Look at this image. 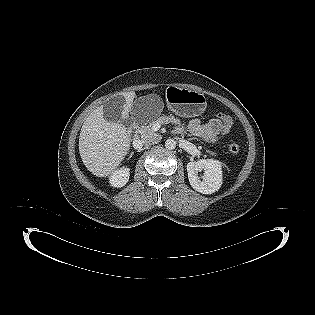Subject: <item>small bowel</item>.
<instances>
[{"mask_svg": "<svg viewBox=\"0 0 315 315\" xmlns=\"http://www.w3.org/2000/svg\"><path fill=\"white\" fill-rule=\"evenodd\" d=\"M223 125L220 120L211 119L206 123H202L195 118L188 123V130L193 136L203 141L216 143L220 133H222L221 128Z\"/></svg>", "mask_w": 315, "mask_h": 315, "instance_id": "1", "label": "small bowel"}]
</instances>
